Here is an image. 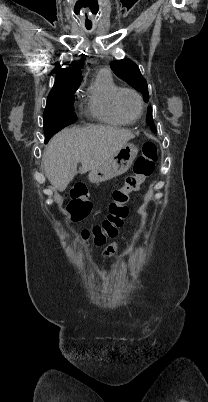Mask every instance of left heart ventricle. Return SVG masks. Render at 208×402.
<instances>
[{
	"label": "left heart ventricle",
	"instance_id": "left-heart-ventricle-1",
	"mask_svg": "<svg viewBox=\"0 0 208 402\" xmlns=\"http://www.w3.org/2000/svg\"><path fill=\"white\" fill-rule=\"evenodd\" d=\"M121 110L128 116L135 118L138 116L140 106L137 98L131 93H123L119 97Z\"/></svg>",
	"mask_w": 208,
	"mask_h": 402
}]
</instances>
